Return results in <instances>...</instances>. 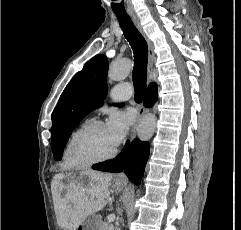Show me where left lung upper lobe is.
Instances as JSON below:
<instances>
[{"label": "left lung upper lobe", "mask_w": 241, "mask_h": 230, "mask_svg": "<svg viewBox=\"0 0 241 230\" xmlns=\"http://www.w3.org/2000/svg\"><path fill=\"white\" fill-rule=\"evenodd\" d=\"M108 65L105 55H96L75 74L61 94L52 114V152L55 160H61L70 134L80 121L103 104L108 92Z\"/></svg>", "instance_id": "obj_1"}]
</instances>
